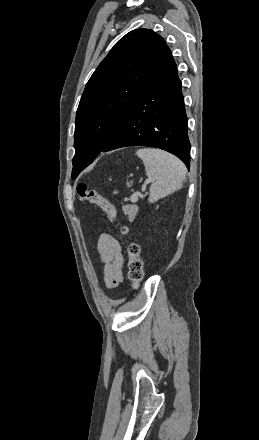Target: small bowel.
I'll use <instances>...</instances> for the list:
<instances>
[{
  "label": "small bowel",
  "instance_id": "small-bowel-1",
  "mask_svg": "<svg viewBox=\"0 0 259 440\" xmlns=\"http://www.w3.org/2000/svg\"><path fill=\"white\" fill-rule=\"evenodd\" d=\"M97 250L103 265L104 282L108 288L117 287L123 280L124 256L119 241L110 234L99 237Z\"/></svg>",
  "mask_w": 259,
  "mask_h": 440
}]
</instances>
